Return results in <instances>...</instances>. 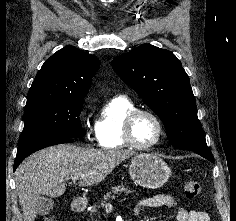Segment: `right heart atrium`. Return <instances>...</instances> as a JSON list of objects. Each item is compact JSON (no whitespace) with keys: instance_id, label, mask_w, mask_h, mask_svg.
I'll use <instances>...</instances> for the list:
<instances>
[{"instance_id":"right-heart-atrium-1","label":"right heart atrium","mask_w":236,"mask_h":221,"mask_svg":"<svg viewBox=\"0 0 236 221\" xmlns=\"http://www.w3.org/2000/svg\"><path fill=\"white\" fill-rule=\"evenodd\" d=\"M95 136H96V130L94 128V130L89 131V137L92 138V137H95Z\"/></svg>"}]
</instances>
